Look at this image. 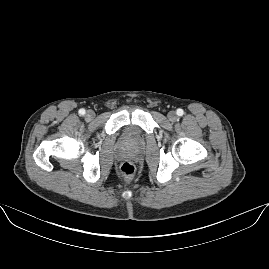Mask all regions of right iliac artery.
<instances>
[{
	"label": "right iliac artery",
	"instance_id": "1",
	"mask_svg": "<svg viewBox=\"0 0 269 269\" xmlns=\"http://www.w3.org/2000/svg\"><path fill=\"white\" fill-rule=\"evenodd\" d=\"M79 114H80V115H84V114H85V110H84V109H80V110H79Z\"/></svg>",
	"mask_w": 269,
	"mask_h": 269
}]
</instances>
